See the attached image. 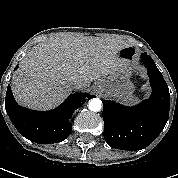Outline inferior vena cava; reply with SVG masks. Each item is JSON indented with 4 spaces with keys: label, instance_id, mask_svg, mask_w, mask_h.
Instances as JSON below:
<instances>
[{
    "label": "inferior vena cava",
    "instance_id": "inferior-vena-cava-1",
    "mask_svg": "<svg viewBox=\"0 0 178 178\" xmlns=\"http://www.w3.org/2000/svg\"><path fill=\"white\" fill-rule=\"evenodd\" d=\"M71 85L76 89L80 86L79 81L75 78L71 80Z\"/></svg>",
    "mask_w": 178,
    "mask_h": 178
}]
</instances>
